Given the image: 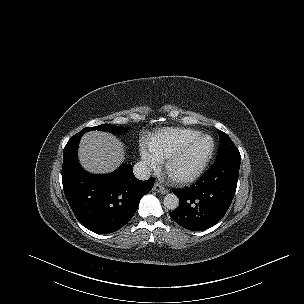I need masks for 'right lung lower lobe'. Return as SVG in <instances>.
I'll return each instance as SVG.
<instances>
[{
  "mask_svg": "<svg viewBox=\"0 0 304 304\" xmlns=\"http://www.w3.org/2000/svg\"><path fill=\"white\" fill-rule=\"evenodd\" d=\"M81 137L82 134H75L64 148L65 196L84 227L99 234L115 232L133 217L141 198L151 191L154 180H138L127 163L110 174L86 172L77 159Z\"/></svg>",
  "mask_w": 304,
  "mask_h": 304,
  "instance_id": "right-lung-lower-lobe-1",
  "label": "right lung lower lobe"
}]
</instances>
